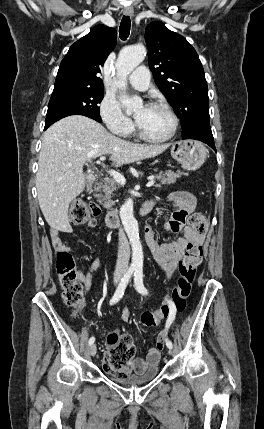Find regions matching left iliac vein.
<instances>
[{
    "label": "left iliac vein",
    "instance_id": "obj_1",
    "mask_svg": "<svg viewBox=\"0 0 264 429\" xmlns=\"http://www.w3.org/2000/svg\"><path fill=\"white\" fill-rule=\"evenodd\" d=\"M168 352H169V354H170V355H172V354H173V352H172V350H171L170 348H169V351H168Z\"/></svg>",
    "mask_w": 264,
    "mask_h": 429
}]
</instances>
